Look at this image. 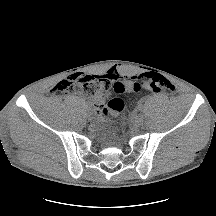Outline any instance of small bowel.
<instances>
[{"label":"small bowel","mask_w":216,"mask_h":216,"mask_svg":"<svg viewBox=\"0 0 216 216\" xmlns=\"http://www.w3.org/2000/svg\"><path fill=\"white\" fill-rule=\"evenodd\" d=\"M105 76L112 81H116L123 78L122 75L115 69L109 70ZM105 99L106 98L101 94H97L96 96H94V103L96 105L97 112H100V109L103 106Z\"/></svg>","instance_id":"1"}]
</instances>
